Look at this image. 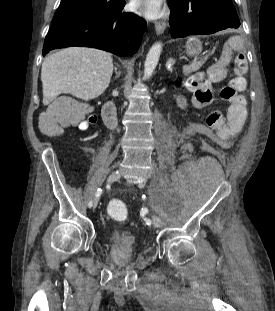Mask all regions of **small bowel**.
Masks as SVG:
<instances>
[{
  "mask_svg": "<svg viewBox=\"0 0 275 311\" xmlns=\"http://www.w3.org/2000/svg\"><path fill=\"white\" fill-rule=\"evenodd\" d=\"M241 38L235 36L227 41L222 60H213V65L208 69H201L200 73H192V80H186V92L194 93L193 108H206L205 120L207 129H212L213 143H230L236 138V133H242L246 118V99L238 95L229 102L228 117L225 118L219 105L213 103L212 80H225L226 72L232 67V57H246L247 51L241 50ZM98 121L97 115H89L86 119L77 123L81 131L89 130Z\"/></svg>",
  "mask_w": 275,
  "mask_h": 311,
  "instance_id": "1",
  "label": "small bowel"
}]
</instances>
